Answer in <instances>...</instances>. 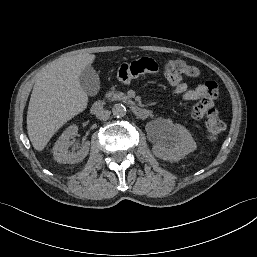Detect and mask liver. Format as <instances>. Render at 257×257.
Masks as SVG:
<instances>
[{
    "instance_id": "1",
    "label": "liver",
    "mask_w": 257,
    "mask_h": 257,
    "mask_svg": "<svg viewBox=\"0 0 257 257\" xmlns=\"http://www.w3.org/2000/svg\"><path fill=\"white\" fill-rule=\"evenodd\" d=\"M94 60L93 54L60 58L38 76L27 111L28 136L36 150L42 151L67 121L87 107L88 96L79 77Z\"/></svg>"
}]
</instances>
